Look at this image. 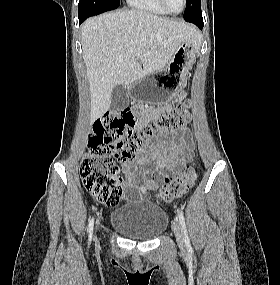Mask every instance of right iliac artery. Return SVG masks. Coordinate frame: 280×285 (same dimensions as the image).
I'll return each instance as SVG.
<instances>
[{
    "label": "right iliac artery",
    "mask_w": 280,
    "mask_h": 285,
    "mask_svg": "<svg viewBox=\"0 0 280 285\" xmlns=\"http://www.w3.org/2000/svg\"><path fill=\"white\" fill-rule=\"evenodd\" d=\"M93 225H94V218H91L90 222H89V225H88V229H87L90 238H91L92 233H93Z\"/></svg>",
    "instance_id": "right-iliac-artery-1"
}]
</instances>
